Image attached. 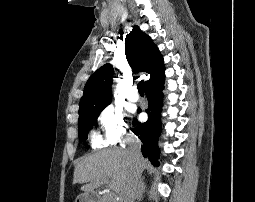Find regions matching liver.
I'll return each instance as SVG.
<instances>
[{
  "label": "liver",
  "instance_id": "liver-1",
  "mask_svg": "<svg viewBox=\"0 0 255 202\" xmlns=\"http://www.w3.org/2000/svg\"><path fill=\"white\" fill-rule=\"evenodd\" d=\"M147 161L140 157L139 167L143 171ZM133 163L126 149H105L81 159L74 169L73 183L83 184L82 191L92 192L111 179L110 189L121 193L129 181Z\"/></svg>",
  "mask_w": 255,
  "mask_h": 202
}]
</instances>
